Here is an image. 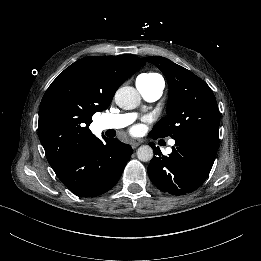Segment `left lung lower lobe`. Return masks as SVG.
<instances>
[{
	"mask_svg": "<svg viewBox=\"0 0 261 261\" xmlns=\"http://www.w3.org/2000/svg\"><path fill=\"white\" fill-rule=\"evenodd\" d=\"M154 149L158 157L154 156L148 166L151 181L161 191L179 196L191 193L205 182L217 154L218 140L192 134L175 140L169 156H161L158 147Z\"/></svg>",
	"mask_w": 261,
	"mask_h": 261,
	"instance_id": "1",
	"label": "left lung lower lobe"
}]
</instances>
